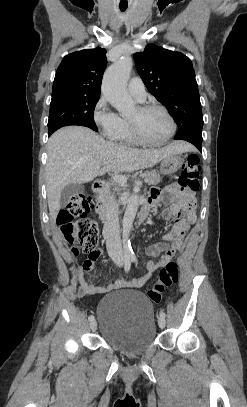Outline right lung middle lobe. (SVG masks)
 Listing matches in <instances>:
<instances>
[{
	"label": "right lung middle lobe",
	"mask_w": 247,
	"mask_h": 407,
	"mask_svg": "<svg viewBox=\"0 0 247 407\" xmlns=\"http://www.w3.org/2000/svg\"><path fill=\"white\" fill-rule=\"evenodd\" d=\"M99 97L75 94L52 96L48 132L67 125H82L98 131L94 122V109Z\"/></svg>",
	"instance_id": "1"
}]
</instances>
